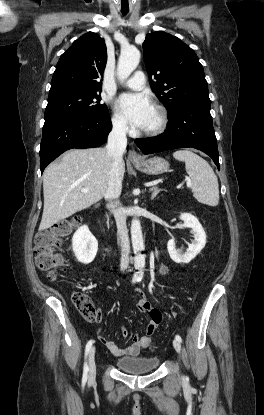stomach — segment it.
<instances>
[{
    "label": "stomach",
    "mask_w": 264,
    "mask_h": 415,
    "mask_svg": "<svg viewBox=\"0 0 264 415\" xmlns=\"http://www.w3.org/2000/svg\"><path fill=\"white\" fill-rule=\"evenodd\" d=\"M134 166L148 175H159L169 169V163L161 157L144 159L141 162H135Z\"/></svg>",
    "instance_id": "1"
}]
</instances>
